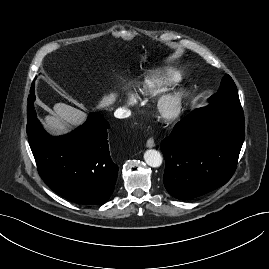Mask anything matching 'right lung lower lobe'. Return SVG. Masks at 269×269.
<instances>
[{"label": "right lung lower lobe", "instance_id": "right-lung-lower-lobe-1", "mask_svg": "<svg viewBox=\"0 0 269 269\" xmlns=\"http://www.w3.org/2000/svg\"><path fill=\"white\" fill-rule=\"evenodd\" d=\"M108 122L91 113L72 133L52 137L28 105L27 134L38 172L57 194L79 204L106 202L114 191L118 166L108 146Z\"/></svg>", "mask_w": 269, "mask_h": 269}]
</instances>
